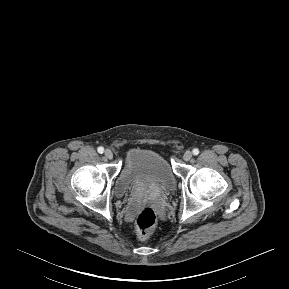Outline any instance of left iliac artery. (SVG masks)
<instances>
[{
    "label": "left iliac artery",
    "mask_w": 289,
    "mask_h": 289,
    "mask_svg": "<svg viewBox=\"0 0 289 289\" xmlns=\"http://www.w3.org/2000/svg\"><path fill=\"white\" fill-rule=\"evenodd\" d=\"M193 154L194 155H198L199 154V149H197V148L193 149Z\"/></svg>",
    "instance_id": "1"
}]
</instances>
